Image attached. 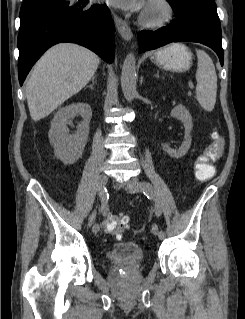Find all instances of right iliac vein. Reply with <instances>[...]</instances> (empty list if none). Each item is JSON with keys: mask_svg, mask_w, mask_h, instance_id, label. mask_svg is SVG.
<instances>
[{"mask_svg": "<svg viewBox=\"0 0 245 319\" xmlns=\"http://www.w3.org/2000/svg\"><path fill=\"white\" fill-rule=\"evenodd\" d=\"M107 181H108V177L106 174H102L99 176V179H98V198H99V200H102L103 196L105 195V186L107 184ZM95 217H96V213L93 212L88 220L89 227H91L93 225ZM94 227H96V225H94L93 228Z\"/></svg>", "mask_w": 245, "mask_h": 319, "instance_id": "obj_1", "label": "right iliac vein"}]
</instances>
